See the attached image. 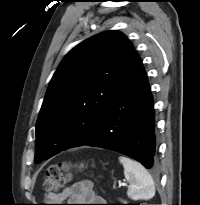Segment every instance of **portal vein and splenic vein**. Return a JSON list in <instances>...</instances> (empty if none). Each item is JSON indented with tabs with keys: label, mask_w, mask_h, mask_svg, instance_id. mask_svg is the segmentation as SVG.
<instances>
[{
	"label": "portal vein and splenic vein",
	"mask_w": 200,
	"mask_h": 205,
	"mask_svg": "<svg viewBox=\"0 0 200 205\" xmlns=\"http://www.w3.org/2000/svg\"><path fill=\"white\" fill-rule=\"evenodd\" d=\"M121 186H127V183H125V182H120V183H119V187H121Z\"/></svg>",
	"instance_id": "portal-vein-and-splenic-vein-1"
}]
</instances>
